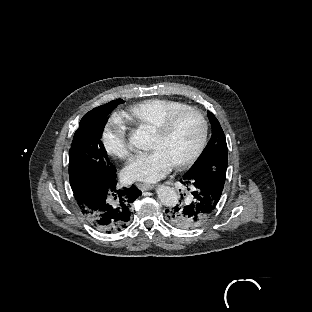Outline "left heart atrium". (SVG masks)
I'll use <instances>...</instances> for the list:
<instances>
[{"mask_svg":"<svg viewBox=\"0 0 312 312\" xmlns=\"http://www.w3.org/2000/svg\"><path fill=\"white\" fill-rule=\"evenodd\" d=\"M173 171L170 158L157 149H150L145 156L132 161L125 168V177L133 184L156 183Z\"/></svg>","mask_w":312,"mask_h":312,"instance_id":"39dd6f15","label":"left heart atrium"}]
</instances>
